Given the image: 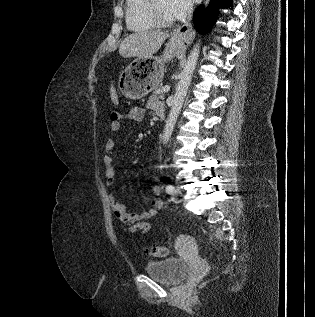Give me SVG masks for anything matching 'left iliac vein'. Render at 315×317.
I'll return each instance as SVG.
<instances>
[{"label":"left iliac vein","mask_w":315,"mask_h":317,"mask_svg":"<svg viewBox=\"0 0 315 317\" xmlns=\"http://www.w3.org/2000/svg\"><path fill=\"white\" fill-rule=\"evenodd\" d=\"M181 195V191L179 189L174 190V196L178 197Z\"/></svg>","instance_id":"1"}]
</instances>
